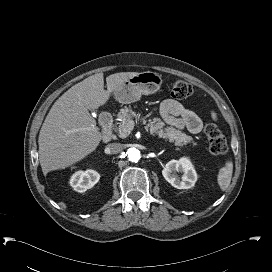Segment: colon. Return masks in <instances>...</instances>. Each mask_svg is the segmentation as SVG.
I'll return each mask as SVG.
<instances>
[{
	"label": "colon",
	"mask_w": 272,
	"mask_h": 272,
	"mask_svg": "<svg viewBox=\"0 0 272 272\" xmlns=\"http://www.w3.org/2000/svg\"><path fill=\"white\" fill-rule=\"evenodd\" d=\"M193 92V87L185 81L174 82L170 87V95L177 100L188 98ZM204 133L209 143L210 152L216 156L226 154L228 150L227 140L219 127L210 122L206 124Z\"/></svg>",
	"instance_id": "colon-1"
}]
</instances>
